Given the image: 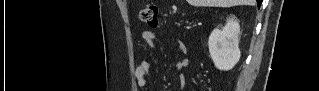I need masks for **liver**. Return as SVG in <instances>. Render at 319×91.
Listing matches in <instances>:
<instances>
[{
  "label": "liver",
  "instance_id": "obj_1",
  "mask_svg": "<svg viewBox=\"0 0 319 91\" xmlns=\"http://www.w3.org/2000/svg\"><path fill=\"white\" fill-rule=\"evenodd\" d=\"M188 3L193 6L205 7H232L238 5L253 6L256 0H188Z\"/></svg>",
  "mask_w": 319,
  "mask_h": 91
}]
</instances>
